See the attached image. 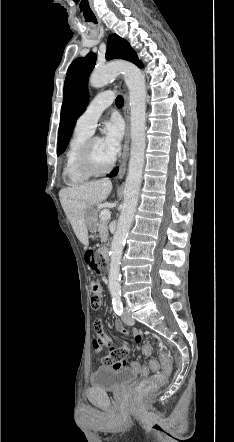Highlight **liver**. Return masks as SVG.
I'll list each match as a JSON object with an SVG mask.
<instances>
[{
	"mask_svg": "<svg viewBox=\"0 0 234 442\" xmlns=\"http://www.w3.org/2000/svg\"><path fill=\"white\" fill-rule=\"evenodd\" d=\"M111 190L112 183L105 178L67 187L59 192L65 215L78 240L86 247L89 244L88 230L85 223L86 212L89 208L106 200Z\"/></svg>",
	"mask_w": 234,
	"mask_h": 442,
	"instance_id": "liver-1",
	"label": "liver"
}]
</instances>
